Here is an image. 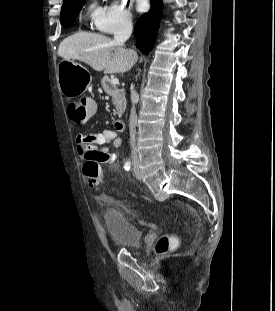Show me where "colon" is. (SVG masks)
I'll return each mask as SVG.
<instances>
[{
	"label": "colon",
	"instance_id": "1",
	"mask_svg": "<svg viewBox=\"0 0 275 311\" xmlns=\"http://www.w3.org/2000/svg\"><path fill=\"white\" fill-rule=\"evenodd\" d=\"M102 103L101 97H83L69 104V112L72 120L77 125H88L94 117H98V104ZM98 160H90L85 163L83 171L85 180L90 187H98L102 181V169ZM180 242L173 236L163 235L156 243V251L160 254L166 253L171 249L177 248Z\"/></svg>",
	"mask_w": 275,
	"mask_h": 311
}]
</instances>
